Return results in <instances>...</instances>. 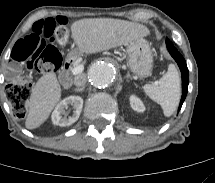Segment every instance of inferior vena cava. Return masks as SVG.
Here are the masks:
<instances>
[{
  "label": "inferior vena cava",
  "mask_w": 215,
  "mask_h": 183,
  "mask_svg": "<svg viewBox=\"0 0 215 183\" xmlns=\"http://www.w3.org/2000/svg\"><path fill=\"white\" fill-rule=\"evenodd\" d=\"M87 82V76L86 74H79L77 75L75 78H74V84L77 86V87H84L85 84Z\"/></svg>",
  "instance_id": "inferior-vena-cava-1"
}]
</instances>
